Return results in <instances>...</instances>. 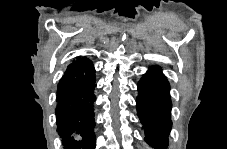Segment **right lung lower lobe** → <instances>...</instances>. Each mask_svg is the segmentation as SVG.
<instances>
[{
    "mask_svg": "<svg viewBox=\"0 0 227 149\" xmlns=\"http://www.w3.org/2000/svg\"><path fill=\"white\" fill-rule=\"evenodd\" d=\"M95 69L87 58L73 61L57 87L56 124L65 149H94Z\"/></svg>",
    "mask_w": 227,
    "mask_h": 149,
    "instance_id": "98d812e1",
    "label": "right lung lower lobe"
}]
</instances>
